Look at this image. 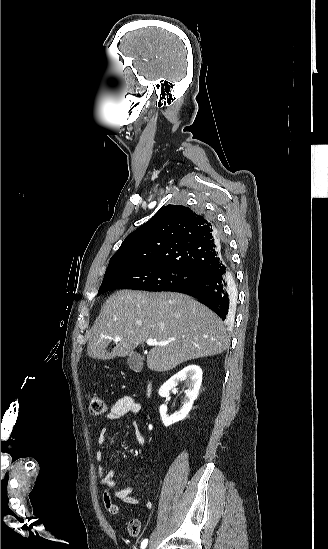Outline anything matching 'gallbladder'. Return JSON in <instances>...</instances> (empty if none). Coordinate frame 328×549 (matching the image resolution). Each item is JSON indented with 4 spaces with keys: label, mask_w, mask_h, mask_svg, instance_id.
<instances>
[{
    "label": "gallbladder",
    "mask_w": 328,
    "mask_h": 549,
    "mask_svg": "<svg viewBox=\"0 0 328 549\" xmlns=\"http://www.w3.org/2000/svg\"><path fill=\"white\" fill-rule=\"evenodd\" d=\"M127 363L131 371H134V373H140L143 369V361L139 353H132V355H129Z\"/></svg>",
    "instance_id": "gallbladder-1"
}]
</instances>
